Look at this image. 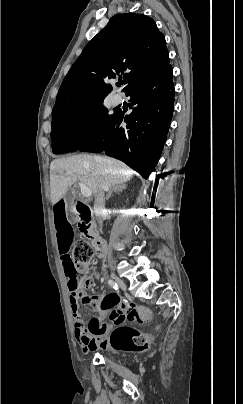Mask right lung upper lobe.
<instances>
[{
	"label": "right lung upper lobe",
	"instance_id": "1",
	"mask_svg": "<svg viewBox=\"0 0 243 404\" xmlns=\"http://www.w3.org/2000/svg\"><path fill=\"white\" fill-rule=\"evenodd\" d=\"M169 65L163 34L156 23L143 14L113 16L83 49L64 78L52 116L107 96L112 86L106 82L123 74L128 92Z\"/></svg>",
	"mask_w": 243,
	"mask_h": 404
}]
</instances>
